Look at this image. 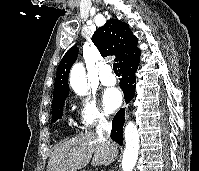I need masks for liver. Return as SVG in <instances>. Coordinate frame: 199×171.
Here are the masks:
<instances>
[{"label":"liver","instance_id":"1","mask_svg":"<svg viewBox=\"0 0 199 171\" xmlns=\"http://www.w3.org/2000/svg\"><path fill=\"white\" fill-rule=\"evenodd\" d=\"M117 154L115 143L104 142L94 132H80L55 148L48 161L47 171H77L91 159L93 166L108 165L116 159Z\"/></svg>","mask_w":199,"mask_h":171}]
</instances>
